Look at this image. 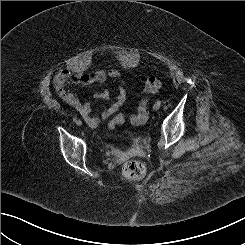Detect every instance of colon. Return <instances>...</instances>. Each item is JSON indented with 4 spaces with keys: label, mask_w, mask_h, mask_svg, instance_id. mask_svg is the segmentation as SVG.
Returning <instances> with one entry per match:
<instances>
[{
    "label": "colon",
    "mask_w": 245,
    "mask_h": 245,
    "mask_svg": "<svg viewBox=\"0 0 245 245\" xmlns=\"http://www.w3.org/2000/svg\"><path fill=\"white\" fill-rule=\"evenodd\" d=\"M163 87V83L156 77H150L145 83L143 95L138 102L137 113L130 117V121L133 124H142L147 121L149 117V105L147 95L154 94L160 91ZM123 121L122 116L116 117L111 126H114ZM146 173L145 165L138 160H131L126 162L122 167V175L128 180L138 181L141 180Z\"/></svg>",
    "instance_id": "colon-1"
}]
</instances>
